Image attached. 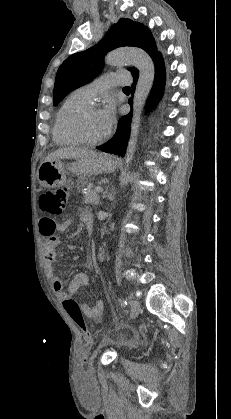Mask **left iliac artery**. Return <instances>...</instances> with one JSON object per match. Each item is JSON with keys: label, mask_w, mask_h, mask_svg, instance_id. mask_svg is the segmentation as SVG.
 <instances>
[{"label": "left iliac artery", "mask_w": 231, "mask_h": 419, "mask_svg": "<svg viewBox=\"0 0 231 419\" xmlns=\"http://www.w3.org/2000/svg\"><path fill=\"white\" fill-rule=\"evenodd\" d=\"M120 303H121V306H122V307H126V306H127V304H128L126 300H121V302H120Z\"/></svg>", "instance_id": "1"}]
</instances>
